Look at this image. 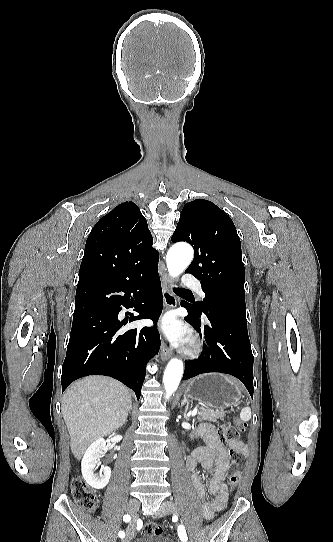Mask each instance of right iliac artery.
<instances>
[{"mask_svg": "<svg viewBox=\"0 0 333 542\" xmlns=\"http://www.w3.org/2000/svg\"><path fill=\"white\" fill-rule=\"evenodd\" d=\"M123 520H124L125 522H129V521L131 520V517H130L129 515H124ZM118 536H119L120 538H123V537H125V533H124L123 531H120V532L118 533Z\"/></svg>", "mask_w": 333, "mask_h": 542, "instance_id": "right-iliac-artery-1", "label": "right iliac artery"}]
</instances>
